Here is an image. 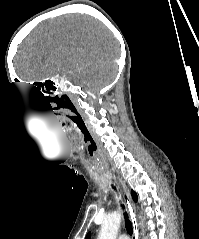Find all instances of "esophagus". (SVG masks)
<instances>
[{"mask_svg":"<svg viewBox=\"0 0 199 239\" xmlns=\"http://www.w3.org/2000/svg\"><path fill=\"white\" fill-rule=\"evenodd\" d=\"M116 182L120 186L121 191L125 198L128 215H129V217L132 221V225H133V237H134V239H138V226H137V221H136V217H135V205L131 198L129 188L127 187L125 182L119 177L116 178Z\"/></svg>","mask_w":199,"mask_h":239,"instance_id":"1","label":"esophagus"}]
</instances>
